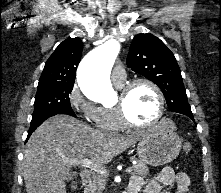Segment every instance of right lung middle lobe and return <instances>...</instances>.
Wrapping results in <instances>:
<instances>
[{
    "mask_svg": "<svg viewBox=\"0 0 221 193\" xmlns=\"http://www.w3.org/2000/svg\"><path fill=\"white\" fill-rule=\"evenodd\" d=\"M72 89V84L38 86L32 119L48 113L73 112L69 98Z\"/></svg>",
    "mask_w": 221,
    "mask_h": 193,
    "instance_id": "obj_1",
    "label": "right lung middle lobe"
}]
</instances>
